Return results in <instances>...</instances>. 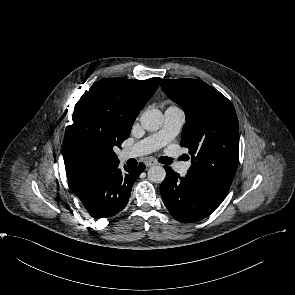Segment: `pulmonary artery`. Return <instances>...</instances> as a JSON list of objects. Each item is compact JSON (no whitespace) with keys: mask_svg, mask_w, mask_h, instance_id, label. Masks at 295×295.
I'll list each match as a JSON object with an SVG mask.
<instances>
[{"mask_svg":"<svg viewBox=\"0 0 295 295\" xmlns=\"http://www.w3.org/2000/svg\"><path fill=\"white\" fill-rule=\"evenodd\" d=\"M185 121V114L178 106H169L164 113V123L157 133L146 137L136 144L124 149L121 157L126 160L154 152L168 142L173 140L180 132ZM189 164L180 162L175 166V170L181 175H185L189 169Z\"/></svg>","mask_w":295,"mask_h":295,"instance_id":"pulmonary-artery-1","label":"pulmonary artery"}]
</instances>
